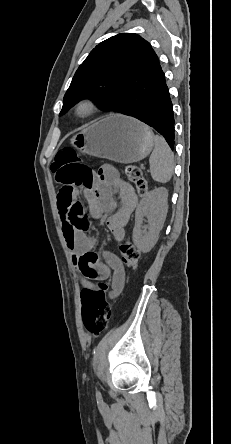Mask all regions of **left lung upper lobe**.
Returning <instances> with one entry per match:
<instances>
[{"instance_id": "obj_1", "label": "left lung upper lobe", "mask_w": 231, "mask_h": 444, "mask_svg": "<svg viewBox=\"0 0 231 444\" xmlns=\"http://www.w3.org/2000/svg\"><path fill=\"white\" fill-rule=\"evenodd\" d=\"M157 59L149 42L134 33H121L98 44L77 69L60 115L83 98L102 110L119 112Z\"/></svg>"}]
</instances>
